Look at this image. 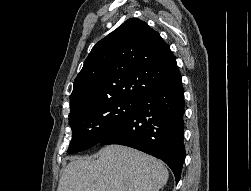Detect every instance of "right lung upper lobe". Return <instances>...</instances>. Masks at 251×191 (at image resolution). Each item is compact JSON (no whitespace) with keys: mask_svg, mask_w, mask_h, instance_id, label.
Segmentation results:
<instances>
[{"mask_svg":"<svg viewBox=\"0 0 251 191\" xmlns=\"http://www.w3.org/2000/svg\"><path fill=\"white\" fill-rule=\"evenodd\" d=\"M179 74L159 33L131 18L93 47L74 81L70 109L120 99L137 101Z\"/></svg>","mask_w":251,"mask_h":191,"instance_id":"obj_1","label":"right lung upper lobe"}]
</instances>
